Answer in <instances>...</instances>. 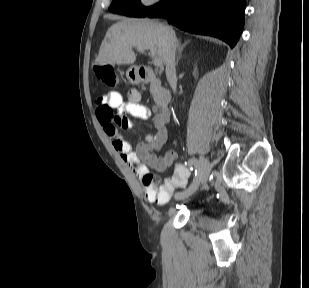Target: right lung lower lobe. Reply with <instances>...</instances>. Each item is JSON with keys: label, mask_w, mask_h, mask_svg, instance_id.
I'll list each match as a JSON object with an SVG mask.
<instances>
[{"label": "right lung lower lobe", "mask_w": 309, "mask_h": 288, "mask_svg": "<svg viewBox=\"0 0 309 288\" xmlns=\"http://www.w3.org/2000/svg\"><path fill=\"white\" fill-rule=\"evenodd\" d=\"M245 0H165L148 17H164L185 31L211 35L233 48L243 30Z\"/></svg>", "instance_id": "98d812e1"}]
</instances>
